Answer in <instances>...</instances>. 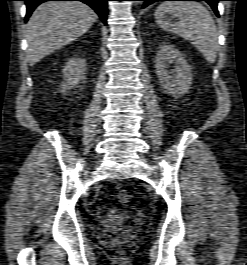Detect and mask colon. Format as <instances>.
<instances>
[{
	"mask_svg": "<svg viewBox=\"0 0 247 265\" xmlns=\"http://www.w3.org/2000/svg\"><path fill=\"white\" fill-rule=\"evenodd\" d=\"M117 200L121 205H126L128 204L130 200V195L127 190L125 189H119L117 193Z\"/></svg>",
	"mask_w": 247,
	"mask_h": 265,
	"instance_id": "5ec220e1",
	"label": "colon"
}]
</instances>
